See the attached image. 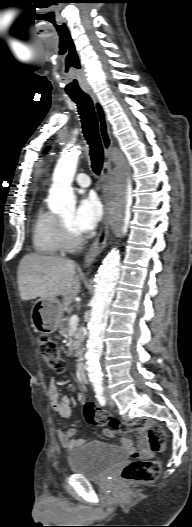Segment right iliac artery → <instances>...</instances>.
<instances>
[{"label":"right iliac artery","instance_id":"right-iliac-artery-1","mask_svg":"<svg viewBox=\"0 0 192 527\" xmlns=\"http://www.w3.org/2000/svg\"><path fill=\"white\" fill-rule=\"evenodd\" d=\"M94 391L96 393V398L101 405H105L106 399L104 397V387L102 384H95Z\"/></svg>","mask_w":192,"mask_h":527}]
</instances>
